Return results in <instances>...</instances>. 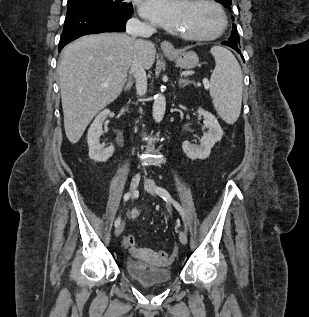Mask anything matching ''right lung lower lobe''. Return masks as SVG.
I'll return each mask as SVG.
<instances>
[{"mask_svg":"<svg viewBox=\"0 0 309 317\" xmlns=\"http://www.w3.org/2000/svg\"><path fill=\"white\" fill-rule=\"evenodd\" d=\"M133 12L93 7H68L58 50L69 42L87 34L125 31V24Z\"/></svg>","mask_w":309,"mask_h":317,"instance_id":"right-lung-lower-lobe-1","label":"right lung lower lobe"}]
</instances>
